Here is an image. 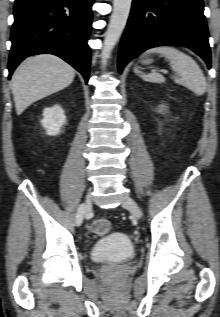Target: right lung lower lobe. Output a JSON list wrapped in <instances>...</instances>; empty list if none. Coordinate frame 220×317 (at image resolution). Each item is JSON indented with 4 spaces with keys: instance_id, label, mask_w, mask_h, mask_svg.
I'll return each mask as SVG.
<instances>
[{
    "instance_id": "98d812e1",
    "label": "right lung lower lobe",
    "mask_w": 220,
    "mask_h": 317,
    "mask_svg": "<svg viewBox=\"0 0 220 317\" xmlns=\"http://www.w3.org/2000/svg\"><path fill=\"white\" fill-rule=\"evenodd\" d=\"M94 0H16L11 31L9 76L26 57L50 53L64 59L89 79Z\"/></svg>"
}]
</instances>
